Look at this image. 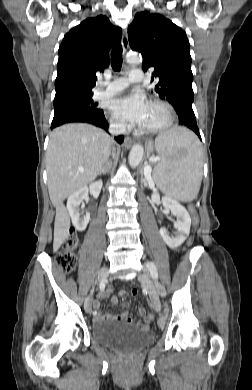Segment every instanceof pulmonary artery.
<instances>
[{"label": "pulmonary artery", "mask_w": 252, "mask_h": 390, "mask_svg": "<svg viewBox=\"0 0 252 390\" xmlns=\"http://www.w3.org/2000/svg\"><path fill=\"white\" fill-rule=\"evenodd\" d=\"M144 73L141 69H133L128 73L127 77H121L110 84L106 85L105 88L100 89L97 93V97L113 96L123 89H125L130 83H136L143 80Z\"/></svg>", "instance_id": "1"}]
</instances>
